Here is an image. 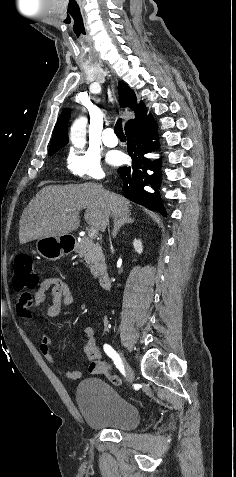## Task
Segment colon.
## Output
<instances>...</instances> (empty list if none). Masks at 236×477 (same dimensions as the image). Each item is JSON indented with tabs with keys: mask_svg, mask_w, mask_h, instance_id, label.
<instances>
[{
	"mask_svg": "<svg viewBox=\"0 0 236 477\" xmlns=\"http://www.w3.org/2000/svg\"><path fill=\"white\" fill-rule=\"evenodd\" d=\"M39 281L33 258L27 254L17 256L14 262L13 288L18 294L19 304L29 305L32 296L29 293ZM109 371V365L105 364ZM110 380L115 385L121 384V379L116 375H110Z\"/></svg>",
	"mask_w": 236,
	"mask_h": 477,
	"instance_id": "5ec220e1",
	"label": "colon"
}]
</instances>
